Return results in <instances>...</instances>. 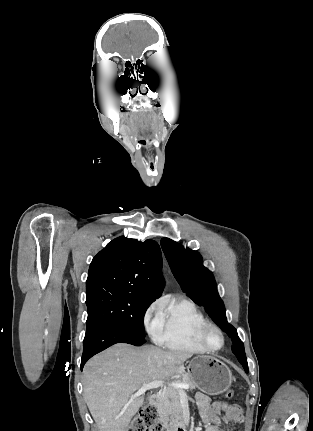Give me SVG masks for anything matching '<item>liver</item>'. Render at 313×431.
<instances>
[{
  "label": "liver",
  "instance_id": "6515ba94",
  "mask_svg": "<svg viewBox=\"0 0 313 431\" xmlns=\"http://www.w3.org/2000/svg\"><path fill=\"white\" fill-rule=\"evenodd\" d=\"M191 354L156 346L118 343L91 358L84 367V398L99 431H127L144 404L133 397L144 385L184 372Z\"/></svg>",
  "mask_w": 313,
  "mask_h": 431
}]
</instances>
